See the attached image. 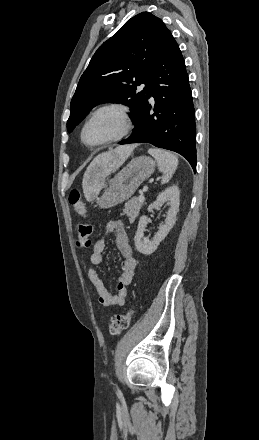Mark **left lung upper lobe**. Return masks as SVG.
<instances>
[{
  "label": "left lung upper lobe",
  "instance_id": "1",
  "mask_svg": "<svg viewBox=\"0 0 259 440\" xmlns=\"http://www.w3.org/2000/svg\"><path fill=\"white\" fill-rule=\"evenodd\" d=\"M169 34L160 18L142 12L104 42L79 80L70 104L68 132L90 109L104 102L129 106L135 122L147 103L149 81ZM141 84H145L144 90L138 92L136 87Z\"/></svg>",
  "mask_w": 259,
  "mask_h": 440
}]
</instances>
